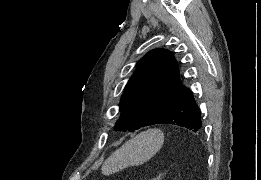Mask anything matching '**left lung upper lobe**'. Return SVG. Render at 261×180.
<instances>
[{
	"mask_svg": "<svg viewBox=\"0 0 261 180\" xmlns=\"http://www.w3.org/2000/svg\"><path fill=\"white\" fill-rule=\"evenodd\" d=\"M183 88L173 54L161 49L148 52L125 87L115 130L132 132L152 125Z\"/></svg>",
	"mask_w": 261,
	"mask_h": 180,
	"instance_id": "left-lung-upper-lobe-1",
	"label": "left lung upper lobe"
}]
</instances>
